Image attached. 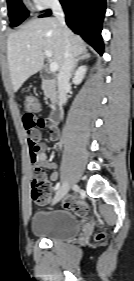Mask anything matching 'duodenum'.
<instances>
[{"label": "duodenum", "mask_w": 134, "mask_h": 281, "mask_svg": "<svg viewBox=\"0 0 134 281\" xmlns=\"http://www.w3.org/2000/svg\"><path fill=\"white\" fill-rule=\"evenodd\" d=\"M42 79L45 83H51V80L47 77L46 73L44 71L41 72ZM62 114L61 110L58 106L51 112L49 116V120L53 124H58L61 121Z\"/></svg>", "instance_id": "duodenum-1"}]
</instances>
